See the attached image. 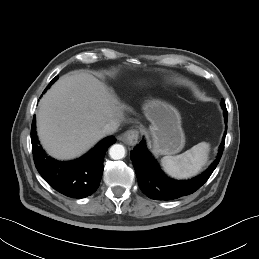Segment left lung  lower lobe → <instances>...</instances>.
Segmentation results:
<instances>
[{"mask_svg": "<svg viewBox=\"0 0 259 259\" xmlns=\"http://www.w3.org/2000/svg\"><path fill=\"white\" fill-rule=\"evenodd\" d=\"M220 104L224 111L225 133L216 160L201 175L183 181L170 179L160 170L159 165L146 149L144 140L134 147L130 154L131 160L139 187L145 195L155 200H173L194 193L208 180L222 156L227 131L228 112L223 100Z\"/></svg>", "mask_w": 259, "mask_h": 259, "instance_id": "0a47b994", "label": "left lung lower lobe"}]
</instances>
